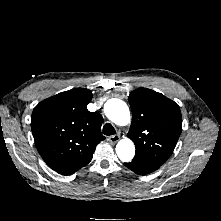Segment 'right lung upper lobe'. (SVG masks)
<instances>
[{
    "label": "right lung upper lobe",
    "mask_w": 221,
    "mask_h": 221,
    "mask_svg": "<svg viewBox=\"0 0 221 221\" xmlns=\"http://www.w3.org/2000/svg\"><path fill=\"white\" fill-rule=\"evenodd\" d=\"M92 92L76 88L40 102L33 110L31 129L47 165L61 175H72L87 165L96 145L104 140L103 118L89 112Z\"/></svg>",
    "instance_id": "obj_1"
}]
</instances>
